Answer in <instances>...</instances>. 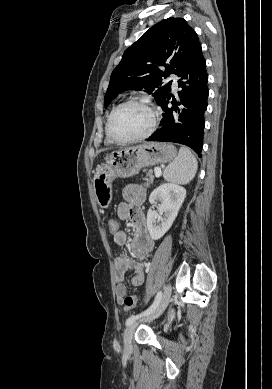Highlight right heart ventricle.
<instances>
[{
	"label": "right heart ventricle",
	"instance_id": "1",
	"mask_svg": "<svg viewBox=\"0 0 272 389\" xmlns=\"http://www.w3.org/2000/svg\"><path fill=\"white\" fill-rule=\"evenodd\" d=\"M105 134H106V142L107 143H113L114 141L109 137V135L107 133V124H106V127H105Z\"/></svg>",
	"mask_w": 272,
	"mask_h": 389
}]
</instances>
